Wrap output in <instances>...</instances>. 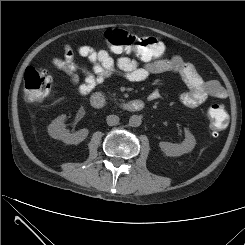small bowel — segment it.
Wrapping results in <instances>:
<instances>
[{
	"mask_svg": "<svg viewBox=\"0 0 245 245\" xmlns=\"http://www.w3.org/2000/svg\"><path fill=\"white\" fill-rule=\"evenodd\" d=\"M63 57H53L52 64L65 72L70 83L81 96L88 95L106 79L117 75L128 82H143L150 76L161 73L179 75L187 86V91L180 94V102L187 107H197L208 98H224L225 90L216 81H206L198 73L195 66L178 55L140 63L129 57L113 58L104 49H96L89 45L72 47L63 45ZM87 58L91 66L84 67L76 63L75 56ZM80 75L84 76L83 81ZM158 92L150 94L151 100L157 99Z\"/></svg>",
	"mask_w": 245,
	"mask_h": 245,
	"instance_id": "obj_1",
	"label": "small bowel"
}]
</instances>
